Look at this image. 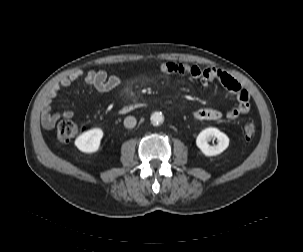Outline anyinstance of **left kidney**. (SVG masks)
<instances>
[{
    "label": "left kidney",
    "mask_w": 303,
    "mask_h": 252,
    "mask_svg": "<svg viewBox=\"0 0 303 252\" xmlns=\"http://www.w3.org/2000/svg\"><path fill=\"white\" fill-rule=\"evenodd\" d=\"M215 137L218 140V144L211 146L208 141ZM196 145L201 150V152L206 156H215L222 153L229 146L228 136L221 132L219 129L214 127H209L202 130L197 138Z\"/></svg>",
    "instance_id": "5707ae66"
}]
</instances>
